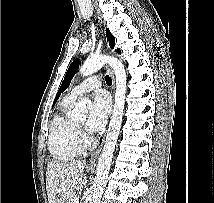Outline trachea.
<instances>
[{
    "instance_id": "obj_1",
    "label": "trachea",
    "mask_w": 214,
    "mask_h": 203,
    "mask_svg": "<svg viewBox=\"0 0 214 203\" xmlns=\"http://www.w3.org/2000/svg\"><path fill=\"white\" fill-rule=\"evenodd\" d=\"M105 81H106V84L109 86L112 84V79L108 75L105 76Z\"/></svg>"
}]
</instances>
